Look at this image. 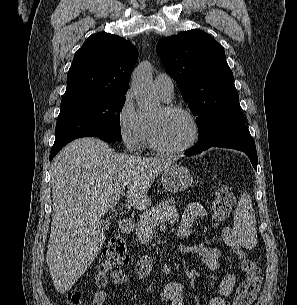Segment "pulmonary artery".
<instances>
[{
    "mask_svg": "<svg viewBox=\"0 0 297 305\" xmlns=\"http://www.w3.org/2000/svg\"><path fill=\"white\" fill-rule=\"evenodd\" d=\"M154 88L164 101H170L174 96V84L172 78L165 74H158L153 82Z\"/></svg>",
    "mask_w": 297,
    "mask_h": 305,
    "instance_id": "pulmonary-artery-1",
    "label": "pulmonary artery"
}]
</instances>
